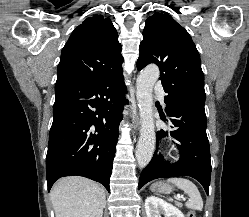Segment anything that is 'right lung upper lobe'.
<instances>
[{"mask_svg": "<svg viewBox=\"0 0 249 217\" xmlns=\"http://www.w3.org/2000/svg\"><path fill=\"white\" fill-rule=\"evenodd\" d=\"M121 50L109 18H87L72 32L62 50L56 85L95 83L123 72Z\"/></svg>", "mask_w": 249, "mask_h": 217, "instance_id": "cb5924a9", "label": "right lung upper lobe"}]
</instances>
